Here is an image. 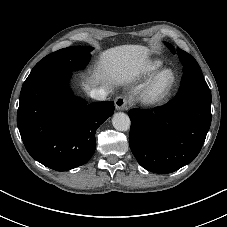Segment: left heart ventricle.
Returning <instances> with one entry per match:
<instances>
[{
  "label": "left heart ventricle",
  "instance_id": "1",
  "mask_svg": "<svg viewBox=\"0 0 227 227\" xmlns=\"http://www.w3.org/2000/svg\"><path fill=\"white\" fill-rule=\"evenodd\" d=\"M169 79H170V75L169 74H166V75H164L162 81L163 82H167Z\"/></svg>",
  "mask_w": 227,
  "mask_h": 227
}]
</instances>
